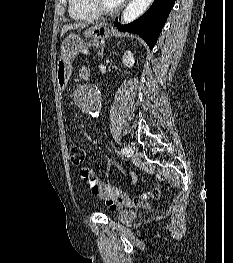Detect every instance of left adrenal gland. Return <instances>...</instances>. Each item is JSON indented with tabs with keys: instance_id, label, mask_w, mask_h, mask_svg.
I'll use <instances>...</instances> for the list:
<instances>
[{
	"instance_id": "1",
	"label": "left adrenal gland",
	"mask_w": 233,
	"mask_h": 263,
	"mask_svg": "<svg viewBox=\"0 0 233 263\" xmlns=\"http://www.w3.org/2000/svg\"><path fill=\"white\" fill-rule=\"evenodd\" d=\"M103 52H104V46L101 48V51L98 53V55L103 58Z\"/></svg>"
}]
</instances>
